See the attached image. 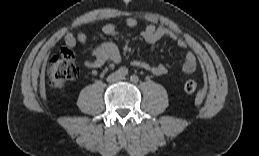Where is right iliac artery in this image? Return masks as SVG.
<instances>
[{
  "instance_id": "1",
  "label": "right iliac artery",
  "mask_w": 259,
  "mask_h": 156,
  "mask_svg": "<svg viewBox=\"0 0 259 156\" xmlns=\"http://www.w3.org/2000/svg\"><path fill=\"white\" fill-rule=\"evenodd\" d=\"M117 73H118L120 76L125 77L126 75H128V69L125 68V67H120V68L117 70Z\"/></svg>"
}]
</instances>
